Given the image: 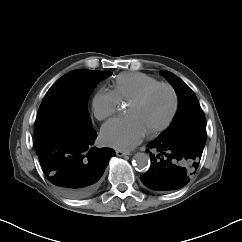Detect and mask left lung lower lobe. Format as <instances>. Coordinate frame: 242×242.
<instances>
[{
  "mask_svg": "<svg viewBox=\"0 0 242 242\" xmlns=\"http://www.w3.org/2000/svg\"><path fill=\"white\" fill-rule=\"evenodd\" d=\"M147 146L151 167L140 179L147 188L158 192L185 186L196 172L204 148L191 143L170 144L158 139ZM151 149L157 155L152 154Z\"/></svg>",
  "mask_w": 242,
  "mask_h": 242,
  "instance_id": "1",
  "label": "left lung lower lobe"
}]
</instances>
